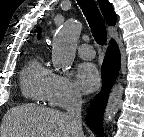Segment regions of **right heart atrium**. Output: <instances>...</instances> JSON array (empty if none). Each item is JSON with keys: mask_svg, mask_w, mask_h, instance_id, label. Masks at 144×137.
Masks as SVG:
<instances>
[{"mask_svg": "<svg viewBox=\"0 0 144 137\" xmlns=\"http://www.w3.org/2000/svg\"><path fill=\"white\" fill-rule=\"evenodd\" d=\"M79 98V92L69 76L54 74L47 96L49 105L65 108L76 103Z\"/></svg>", "mask_w": 144, "mask_h": 137, "instance_id": "d8ad5b80", "label": "right heart atrium"}]
</instances>
